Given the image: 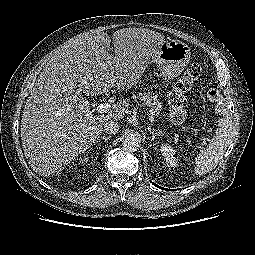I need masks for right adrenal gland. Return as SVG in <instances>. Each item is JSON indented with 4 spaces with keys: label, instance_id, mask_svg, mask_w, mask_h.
Instances as JSON below:
<instances>
[{
    "label": "right adrenal gland",
    "instance_id": "right-adrenal-gland-1",
    "mask_svg": "<svg viewBox=\"0 0 255 255\" xmlns=\"http://www.w3.org/2000/svg\"><path fill=\"white\" fill-rule=\"evenodd\" d=\"M111 138H112V136H105V135H103L101 137L100 136L98 137V139H103L105 142H107Z\"/></svg>",
    "mask_w": 255,
    "mask_h": 255
}]
</instances>
